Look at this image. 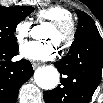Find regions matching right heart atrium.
Wrapping results in <instances>:
<instances>
[{"instance_id":"d8ad5b80","label":"right heart atrium","mask_w":103,"mask_h":103,"mask_svg":"<svg viewBox=\"0 0 103 103\" xmlns=\"http://www.w3.org/2000/svg\"><path fill=\"white\" fill-rule=\"evenodd\" d=\"M31 23L28 20H21L14 29V37L18 43H22L29 36Z\"/></svg>"}]
</instances>
